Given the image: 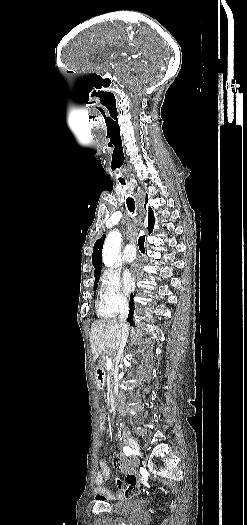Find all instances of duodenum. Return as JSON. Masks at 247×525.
I'll list each match as a JSON object with an SVG mask.
<instances>
[{"mask_svg":"<svg viewBox=\"0 0 247 525\" xmlns=\"http://www.w3.org/2000/svg\"><path fill=\"white\" fill-rule=\"evenodd\" d=\"M95 375H96V378L100 381V382H104V378H105V373H104V370L101 368V367H96V370H95ZM109 409H110V412L112 414H114L116 412V403H115V398L114 396H111L110 397V400H109Z\"/></svg>","mask_w":247,"mask_h":525,"instance_id":"1","label":"duodenum"}]
</instances>
